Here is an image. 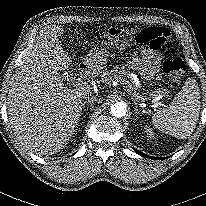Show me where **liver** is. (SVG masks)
<instances>
[{"mask_svg":"<svg viewBox=\"0 0 206 206\" xmlns=\"http://www.w3.org/2000/svg\"><path fill=\"white\" fill-rule=\"evenodd\" d=\"M63 28L41 29L33 50L16 69L10 81L7 112L12 129L26 149L51 155L65 147L74 134L82 111L85 83L69 89L59 71L72 61L63 50L59 36ZM107 62L102 51H91L84 62L88 73L100 72Z\"/></svg>","mask_w":206,"mask_h":206,"instance_id":"liver-1","label":"liver"}]
</instances>
